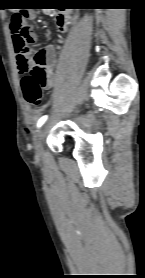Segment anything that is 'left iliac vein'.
I'll return each mask as SVG.
<instances>
[{
    "instance_id": "1",
    "label": "left iliac vein",
    "mask_w": 145,
    "mask_h": 278,
    "mask_svg": "<svg viewBox=\"0 0 145 278\" xmlns=\"http://www.w3.org/2000/svg\"><path fill=\"white\" fill-rule=\"evenodd\" d=\"M46 134V128L42 127L40 128L35 135L34 138V149H35V154L37 157H40L42 155V142L44 140Z\"/></svg>"
}]
</instances>
